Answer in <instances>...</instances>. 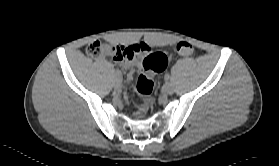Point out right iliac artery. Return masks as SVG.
<instances>
[{
	"label": "right iliac artery",
	"mask_w": 279,
	"mask_h": 166,
	"mask_svg": "<svg viewBox=\"0 0 279 166\" xmlns=\"http://www.w3.org/2000/svg\"><path fill=\"white\" fill-rule=\"evenodd\" d=\"M115 74H116V77H117V78H120V77H121V72H120L119 70H117V71L115 72Z\"/></svg>",
	"instance_id": "obj_1"
}]
</instances>
